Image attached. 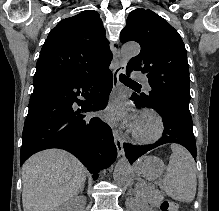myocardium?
Segmentation results:
<instances>
[{"mask_svg":"<svg viewBox=\"0 0 219 211\" xmlns=\"http://www.w3.org/2000/svg\"><path fill=\"white\" fill-rule=\"evenodd\" d=\"M146 121H150L151 124L144 128L142 124ZM163 128L164 120L161 114L155 110H147L140 115L133 129V136L141 142H152L160 136Z\"/></svg>","mask_w":219,"mask_h":211,"instance_id":"myocardium-1","label":"myocardium"}]
</instances>
